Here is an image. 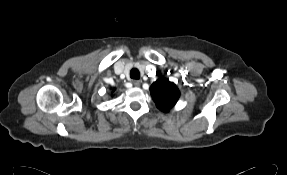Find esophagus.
<instances>
[{"label":"esophagus","mask_w":287,"mask_h":175,"mask_svg":"<svg viewBox=\"0 0 287 175\" xmlns=\"http://www.w3.org/2000/svg\"><path fill=\"white\" fill-rule=\"evenodd\" d=\"M141 83H142L141 80H134V81H133V84H134V86H136V87H139V86L141 85Z\"/></svg>","instance_id":"1"}]
</instances>
